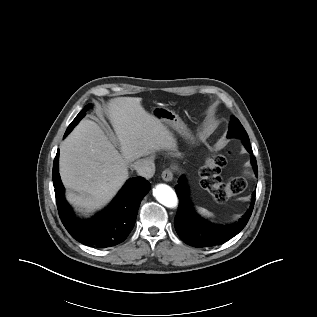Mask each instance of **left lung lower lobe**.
Here are the masks:
<instances>
[{
    "mask_svg": "<svg viewBox=\"0 0 317 317\" xmlns=\"http://www.w3.org/2000/svg\"><path fill=\"white\" fill-rule=\"evenodd\" d=\"M244 146L249 153H253L250 143H245ZM251 164L255 175L258 176L257 162L253 155L251 156ZM175 190L179 198V208L174 221L175 229L184 243L197 248L221 245L236 236L249 221L256 196L255 190L252 194L249 209L238 222L231 225H219L211 223L196 214L183 176L179 178Z\"/></svg>",
    "mask_w": 317,
    "mask_h": 317,
    "instance_id": "left-lung-lower-lobe-1",
    "label": "left lung lower lobe"
}]
</instances>
